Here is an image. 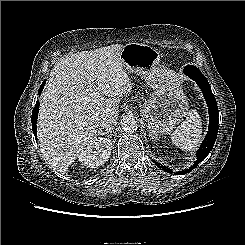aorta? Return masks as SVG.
<instances>
[{
    "mask_svg": "<svg viewBox=\"0 0 245 245\" xmlns=\"http://www.w3.org/2000/svg\"><path fill=\"white\" fill-rule=\"evenodd\" d=\"M121 126L122 129L128 133L135 132L138 128L137 120L133 116L123 117L121 120Z\"/></svg>",
    "mask_w": 245,
    "mask_h": 245,
    "instance_id": "1",
    "label": "aorta"
}]
</instances>
